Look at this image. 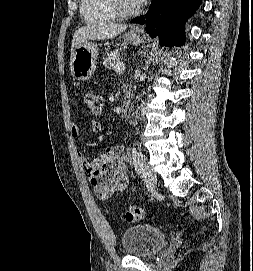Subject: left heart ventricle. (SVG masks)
Wrapping results in <instances>:
<instances>
[{"label":"left heart ventricle","instance_id":"b2bd125f","mask_svg":"<svg viewBox=\"0 0 253 271\" xmlns=\"http://www.w3.org/2000/svg\"><path fill=\"white\" fill-rule=\"evenodd\" d=\"M124 1H125V4L128 7H136V6H138L136 0H124Z\"/></svg>","mask_w":253,"mask_h":271}]
</instances>
